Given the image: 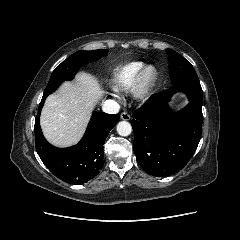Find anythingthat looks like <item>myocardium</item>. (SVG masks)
Listing matches in <instances>:
<instances>
[{
    "label": "myocardium",
    "instance_id": "myocardium-1",
    "mask_svg": "<svg viewBox=\"0 0 240 240\" xmlns=\"http://www.w3.org/2000/svg\"><path fill=\"white\" fill-rule=\"evenodd\" d=\"M158 80V71L153 65H146L142 68L132 89V96L138 102L146 101Z\"/></svg>",
    "mask_w": 240,
    "mask_h": 240
}]
</instances>
